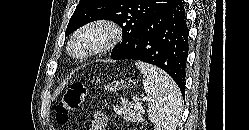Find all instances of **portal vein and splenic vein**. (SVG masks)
I'll return each mask as SVG.
<instances>
[{"label": "portal vein and splenic vein", "mask_w": 249, "mask_h": 130, "mask_svg": "<svg viewBox=\"0 0 249 130\" xmlns=\"http://www.w3.org/2000/svg\"><path fill=\"white\" fill-rule=\"evenodd\" d=\"M134 100H135V102H136V104H137V105H139V104H140V102H139V100H138V99H136V98H135Z\"/></svg>", "instance_id": "portal-vein-and-splenic-vein-1"}]
</instances>
